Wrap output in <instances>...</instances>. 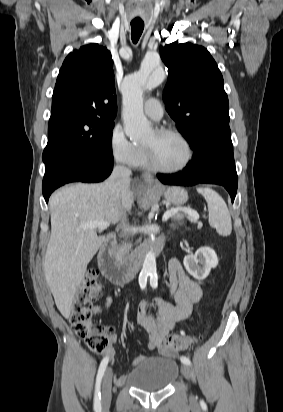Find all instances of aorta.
Here are the masks:
<instances>
[{
  "instance_id": "aorta-1",
  "label": "aorta",
  "mask_w": 283,
  "mask_h": 412,
  "mask_svg": "<svg viewBox=\"0 0 283 412\" xmlns=\"http://www.w3.org/2000/svg\"><path fill=\"white\" fill-rule=\"evenodd\" d=\"M165 78L159 70V64H147L127 76L122 84V103L124 130L130 140H139L151 133V125L143 112V92L145 89L160 85ZM157 274L156 257L152 250L148 251L141 270V277L147 278Z\"/></svg>"
}]
</instances>
